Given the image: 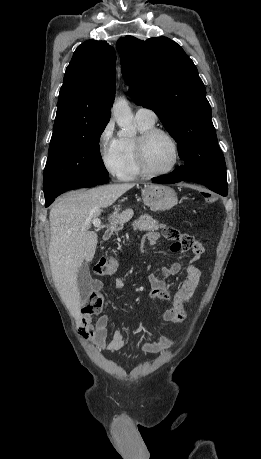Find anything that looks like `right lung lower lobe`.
<instances>
[{
	"mask_svg": "<svg viewBox=\"0 0 261 459\" xmlns=\"http://www.w3.org/2000/svg\"><path fill=\"white\" fill-rule=\"evenodd\" d=\"M107 182H108L107 179H99V180L85 181V182H81V183H77V184L71 185L69 187L64 188L60 192L45 198V201H46L45 206L48 207L58 195H60L61 193H64L65 191H68V190H71V189H77V188L92 187V186H96V185H100V184H105Z\"/></svg>",
	"mask_w": 261,
	"mask_h": 459,
	"instance_id": "obj_1",
	"label": "right lung lower lobe"
}]
</instances>
